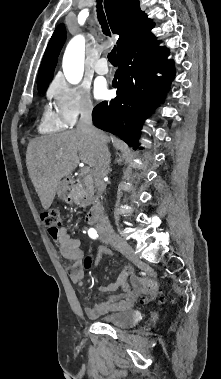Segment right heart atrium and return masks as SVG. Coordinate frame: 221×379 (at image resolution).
Segmentation results:
<instances>
[{
  "label": "right heart atrium",
  "mask_w": 221,
  "mask_h": 379,
  "mask_svg": "<svg viewBox=\"0 0 221 379\" xmlns=\"http://www.w3.org/2000/svg\"><path fill=\"white\" fill-rule=\"evenodd\" d=\"M48 96L53 100L59 117L69 127L74 126L79 118L91 115L95 109L90 92L83 85L56 80L50 85Z\"/></svg>",
  "instance_id": "1"
}]
</instances>
